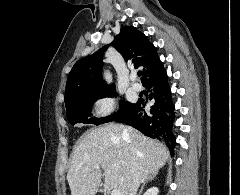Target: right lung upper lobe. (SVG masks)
Wrapping results in <instances>:
<instances>
[{
  "label": "right lung upper lobe",
  "instance_id": "right-lung-upper-lobe-1",
  "mask_svg": "<svg viewBox=\"0 0 240 195\" xmlns=\"http://www.w3.org/2000/svg\"><path fill=\"white\" fill-rule=\"evenodd\" d=\"M111 44L126 62L134 68L142 69L143 86L164 70L154 45L135 27L121 28L120 34L115 36ZM107 47L108 45L75 63L66 83L65 105L79 98L115 93L114 86H108L101 78L103 53Z\"/></svg>",
  "mask_w": 240,
  "mask_h": 195
}]
</instances>
